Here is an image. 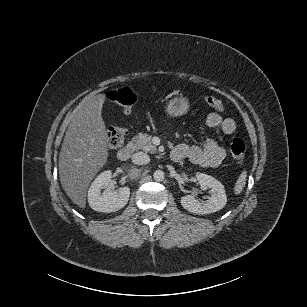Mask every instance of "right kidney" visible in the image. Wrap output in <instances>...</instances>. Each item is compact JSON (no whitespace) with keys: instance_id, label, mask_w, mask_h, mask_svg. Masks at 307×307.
<instances>
[{"instance_id":"1","label":"right kidney","mask_w":307,"mask_h":307,"mask_svg":"<svg viewBox=\"0 0 307 307\" xmlns=\"http://www.w3.org/2000/svg\"><path fill=\"white\" fill-rule=\"evenodd\" d=\"M119 194L112 191L111 172L100 174L88 193L91 208L99 213H112L123 209L130 198V188H120Z\"/></svg>"}]
</instances>
